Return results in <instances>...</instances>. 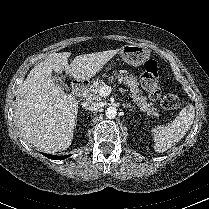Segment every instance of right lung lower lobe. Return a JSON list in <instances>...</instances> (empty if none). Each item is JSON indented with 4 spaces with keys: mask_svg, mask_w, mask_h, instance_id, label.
Listing matches in <instances>:
<instances>
[{
    "mask_svg": "<svg viewBox=\"0 0 209 209\" xmlns=\"http://www.w3.org/2000/svg\"><path fill=\"white\" fill-rule=\"evenodd\" d=\"M46 157L50 158V159H57V160H60V159H64L70 155H65V156H56V155H49V154H44Z\"/></svg>",
    "mask_w": 209,
    "mask_h": 209,
    "instance_id": "obj_1",
    "label": "right lung lower lobe"
}]
</instances>
